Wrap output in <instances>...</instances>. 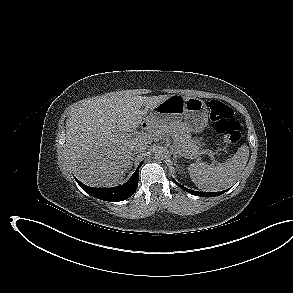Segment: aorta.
Here are the masks:
<instances>
[{"label": "aorta", "instance_id": "1", "mask_svg": "<svg viewBox=\"0 0 293 293\" xmlns=\"http://www.w3.org/2000/svg\"><path fill=\"white\" fill-rule=\"evenodd\" d=\"M167 155V150L163 147H158L156 150H155V157L157 158H163Z\"/></svg>", "mask_w": 293, "mask_h": 293}]
</instances>
